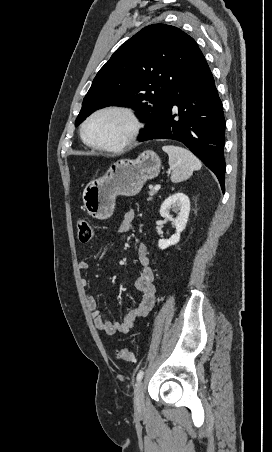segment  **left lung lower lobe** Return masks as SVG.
<instances>
[{
    "label": "left lung lower lobe",
    "mask_w": 272,
    "mask_h": 452,
    "mask_svg": "<svg viewBox=\"0 0 272 452\" xmlns=\"http://www.w3.org/2000/svg\"><path fill=\"white\" fill-rule=\"evenodd\" d=\"M174 139L184 143L218 178L225 191V119L210 68L199 47L178 77L158 121L139 141Z\"/></svg>",
    "instance_id": "1"
}]
</instances>
